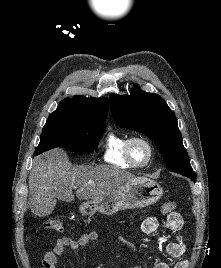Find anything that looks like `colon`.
Returning a JSON list of instances; mask_svg holds the SVG:
<instances>
[{"label": "colon", "mask_w": 221, "mask_h": 268, "mask_svg": "<svg viewBox=\"0 0 221 268\" xmlns=\"http://www.w3.org/2000/svg\"><path fill=\"white\" fill-rule=\"evenodd\" d=\"M175 208H176V201L173 198L167 199L162 205L163 213L168 215L174 213ZM44 227L48 230L60 231L63 227V222L58 217L51 218L45 223Z\"/></svg>", "instance_id": "1"}]
</instances>
